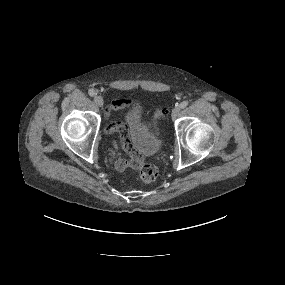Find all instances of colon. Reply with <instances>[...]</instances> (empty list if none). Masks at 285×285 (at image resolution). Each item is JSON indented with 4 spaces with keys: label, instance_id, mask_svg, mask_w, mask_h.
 Here are the masks:
<instances>
[{
    "label": "colon",
    "instance_id": "obj_1",
    "mask_svg": "<svg viewBox=\"0 0 285 285\" xmlns=\"http://www.w3.org/2000/svg\"><path fill=\"white\" fill-rule=\"evenodd\" d=\"M165 115V110L160 108L155 111L154 117L158 122ZM114 132L124 133L122 127L120 125L113 126ZM124 147L127 151L132 152V149L128 143V141L124 140ZM131 167L140 166V177L144 182H152L157 178L158 171L157 168L152 164H142V160L139 155L133 153L132 158L128 161Z\"/></svg>",
    "mask_w": 285,
    "mask_h": 285
}]
</instances>
